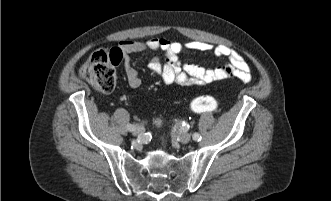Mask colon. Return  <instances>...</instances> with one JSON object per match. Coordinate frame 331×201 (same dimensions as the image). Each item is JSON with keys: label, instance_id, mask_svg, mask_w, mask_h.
<instances>
[{"label": "colon", "instance_id": "1", "mask_svg": "<svg viewBox=\"0 0 331 201\" xmlns=\"http://www.w3.org/2000/svg\"><path fill=\"white\" fill-rule=\"evenodd\" d=\"M82 78L101 93H110L116 84L115 62L113 56L103 50L91 54L82 66ZM220 106L219 100L211 95L199 96L190 103L193 112H214Z\"/></svg>", "mask_w": 331, "mask_h": 201}]
</instances>
